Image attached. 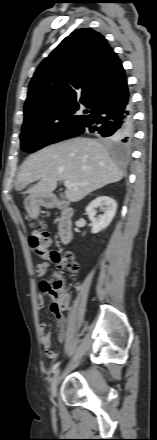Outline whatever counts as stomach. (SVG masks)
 Instances as JSON below:
<instances>
[{
    "label": "stomach",
    "mask_w": 157,
    "mask_h": 440,
    "mask_svg": "<svg viewBox=\"0 0 157 440\" xmlns=\"http://www.w3.org/2000/svg\"><path fill=\"white\" fill-rule=\"evenodd\" d=\"M46 204L47 201L44 195L29 196L25 199V207L31 217H36L40 206Z\"/></svg>",
    "instance_id": "stomach-1"
}]
</instances>
